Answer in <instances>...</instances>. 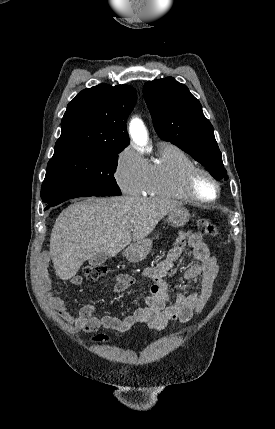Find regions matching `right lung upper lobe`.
Returning a JSON list of instances; mask_svg holds the SVG:
<instances>
[{"mask_svg": "<svg viewBox=\"0 0 275 429\" xmlns=\"http://www.w3.org/2000/svg\"><path fill=\"white\" fill-rule=\"evenodd\" d=\"M136 100V90L128 85L82 90L67 106L54 153L123 150L129 144L126 120Z\"/></svg>", "mask_w": 275, "mask_h": 429, "instance_id": "1", "label": "right lung upper lobe"}]
</instances>
